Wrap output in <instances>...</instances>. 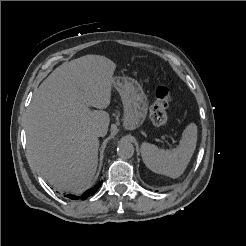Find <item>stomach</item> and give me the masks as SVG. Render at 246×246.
Returning a JSON list of instances; mask_svg holds the SVG:
<instances>
[{"mask_svg":"<svg viewBox=\"0 0 246 246\" xmlns=\"http://www.w3.org/2000/svg\"><path fill=\"white\" fill-rule=\"evenodd\" d=\"M113 85L124 106V125L133 130L140 127L147 115L148 101L140 84L129 77H115Z\"/></svg>","mask_w":246,"mask_h":246,"instance_id":"1","label":"stomach"}]
</instances>
